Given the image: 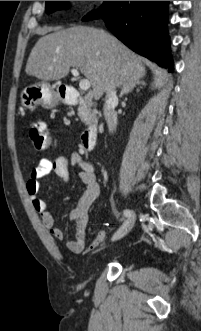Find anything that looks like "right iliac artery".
Listing matches in <instances>:
<instances>
[{"label":"right iliac artery","instance_id":"1","mask_svg":"<svg viewBox=\"0 0 201 331\" xmlns=\"http://www.w3.org/2000/svg\"><path fill=\"white\" fill-rule=\"evenodd\" d=\"M124 215L125 217H129L130 216V211L128 209L124 210Z\"/></svg>","mask_w":201,"mask_h":331}]
</instances>
